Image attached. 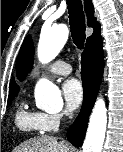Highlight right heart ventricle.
<instances>
[{
  "label": "right heart ventricle",
  "instance_id": "1",
  "mask_svg": "<svg viewBox=\"0 0 123 152\" xmlns=\"http://www.w3.org/2000/svg\"><path fill=\"white\" fill-rule=\"evenodd\" d=\"M15 123L18 128L26 132H43L39 122V113L29 111L25 104L18 108Z\"/></svg>",
  "mask_w": 123,
  "mask_h": 152
}]
</instances>
